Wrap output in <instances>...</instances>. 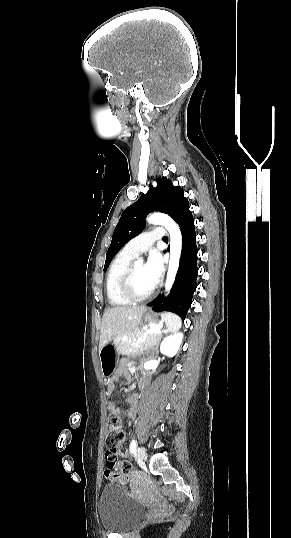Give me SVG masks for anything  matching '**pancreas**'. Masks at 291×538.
<instances>
[{
  "mask_svg": "<svg viewBox=\"0 0 291 538\" xmlns=\"http://www.w3.org/2000/svg\"><path fill=\"white\" fill-rule=\"evenodd\" d=\"M148 331L147 328H144V329H141V330H137L135 332H129V333H126L124 336L128 339V340H136L138 337H141L143 338L144 337V334ZM161 333H151L147 336V340L145 342H143L142 344L140 345H136V346H133L131 344H129L128 342L124 341L123 340V337L124 336H121L119 338V340H117L115 342V347L116 349L119 351L120 354H123V355H129V354H134V353H139V352H143L144 350H146L147 348H149L152 344H154L156 341H158L159 337H160Z\"/></svg>",
  "mask_w": 291,
  "mask_h": 538,
  "instance_id": "cf45deb5",
  "label": "pancreas"
}]
</instances>
